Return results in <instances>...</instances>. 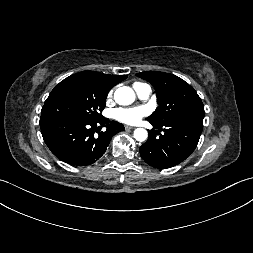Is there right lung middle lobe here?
Wrapping results in <instances>:
<instances>
[{"instance_id": "right-lung-middle-lobe-1", "label": "right lung middle lobe", "mask_w": 253, "mask_h": 253, "mask_svg": "<svg viewBox=\"0 0 253 253\" xmlns=\"http://www.w3.org/2000/svg\"><path fill=\"white\" fill-rule=\"evenodd\" d=\"M109 89L84 72L61 81L49 94L40 120L76 119L94 121L102 118Z\"/></svg>"}]
</instances>
